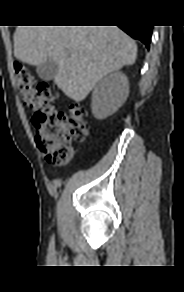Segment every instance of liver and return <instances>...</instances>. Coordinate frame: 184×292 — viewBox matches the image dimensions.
<instances>
[{
  "label": "liver",
  "mask_w": 184,
  "mask_h": 292,
  "mask_svg": "<svg viewBox=\"0 0 184 292\" xmlns=\"http://www.w3.org/2000/svg\"><path fill=\"white\" fill-rule=\"evenodd\" d=\"M14 56L32 66L56 62L55 84L79 102L104 76L133 65L137 45L117 26H18Z\"/></svg>",
  "instance_id": "1"
}]
</instances>
